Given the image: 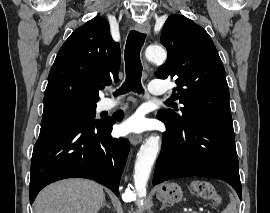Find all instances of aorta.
<instances>
[{
    "label": "aorta",
    "instance_id": "1",
    "mask_svg": "<svg viewBox=\"0 0 270 213\" xmlns=\"http://www.w3.org/2000/svg\"><path fill=\"white\" fill-rule=\"evenodd\" d=\"M146 58L154 63H163L167 58V53L161 46H149L146 49ZM159 148L160 138L150 136L137 154L134 167V185L139 198L146 195L147 182ZM138 203L142 205L143 200H139Z\"/></svg>",
    "mask_w": 270,
    "mask_h": 213
}]
</instances>
